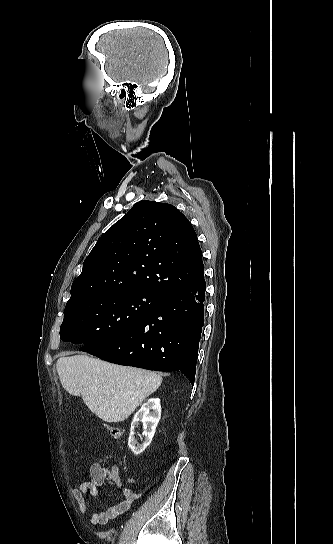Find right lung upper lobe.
Returning <instances> with one entry per match:
<instances>
[{"instance_id":"obj_1","label":"right lung upper lobe","mask_w":333,"mask_h":544,"mask_svg":"<svg viewBox=\"0 0 333 544\" xmlns=\"http://www.w3.org/2000/svg\"><path fill=\"white\" fill-rule=\"evenodd\" d=\"M203 277L202 252L189 220L173 205L140 201L98 239L67 303L106 292L163 297Z\"/></svg>"}]
</instances>
